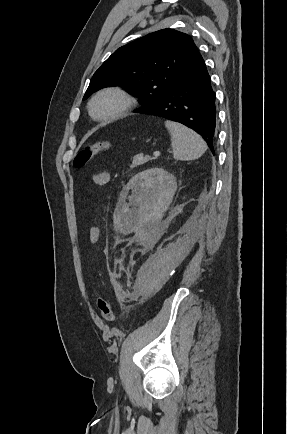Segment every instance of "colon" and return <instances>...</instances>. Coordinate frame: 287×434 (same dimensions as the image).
Segmentation results:
<instances>
[{
    "label": "colon",
    "instance_id": "1",
    "mask_svg": "<svg viewBox=\"0 0 287 434\" xmlns=\"http://www.w3.org/2000/svg\"><path fill=\"white\" fill-rule=\"evenodd\" d=\"M112 144L108 141H101L89 144L82 148L74 158V165L76 167L85 166L91 159L100 153L109 150ZM97 307L101 317L107 321L112 322L115 318V312L112 303L105 299L99 298L97 301Z\"/></svg>",
    "mask_w": 287,
    "mask_h": 434
}]
</instances>
